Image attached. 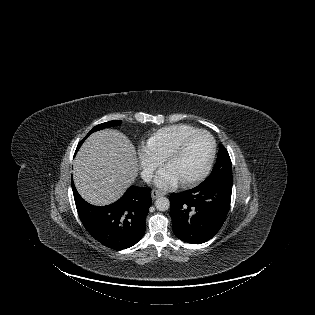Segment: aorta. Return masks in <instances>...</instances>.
Returning a JSON list of instances; mask_svg holds the SVG:
<instances>
[{"label":"aorta","instance_id":"aorta-1","mask_svg":"<svg viewBox=\"0 0 315 315\" xmlns=\"http://www.w3.org/2000/svg\"><path fill=\"white\" fill-rule=\"evenodd\" d=\"M155 207L159 211H166L170 208V201L166 197H159L155 201Z\"/></svg>","mask_w":315,"mask_h":315}]
</instances>
